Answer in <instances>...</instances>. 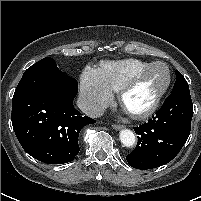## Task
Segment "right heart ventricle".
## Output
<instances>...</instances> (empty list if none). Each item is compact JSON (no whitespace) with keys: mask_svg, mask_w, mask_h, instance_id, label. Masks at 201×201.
<instances>
[{"mask_svg":"<svg viewBox=\"0 0 201 201\" xmlns=\"http://www.w3.org/2000/svg\"><path fill=\"white\" fill-rule=\"evenodd\" d=\"M150 64L138 59H124L105 62L97 70L104 83L112 91L118 92L130 77Z\"/></svg>","mask_w":201,"mask_h":201,"instance_id":"e07e8e85","label":"right heart ventricle"}]
</instances>
